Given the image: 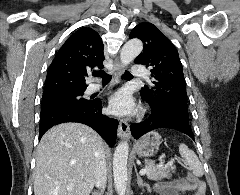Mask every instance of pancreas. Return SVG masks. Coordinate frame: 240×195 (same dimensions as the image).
<instances>
[{
    "label": "pancreas",
    "mask_w": 240,
    "mask_h": 195,
    "mask_svg": "<svg viewBox=\"0 0 240 195\" xmlns=\"http://www.w3.org/2000/svg\"><path fill=\"white\" fill-rule=\"evenodd\" d=\"M146 163L145 169H148L146 175L148 179H155V181H161L164 177L170 179V177H172L171 171H175L176 169L175 165H172V167H164V169H157L153 159H146Z\"/></svg>",
    "instance_id": "cf45deb5"
}]
</instances>
